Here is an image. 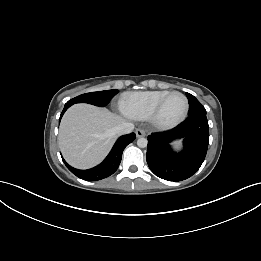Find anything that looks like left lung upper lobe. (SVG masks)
Returning a JSON list of instances; mask_svg holds the SVG:
<instances>
[{"instance_id": "1", "label": "left lung upper lobe", "mask_w": 261, "mask_h": 261, "mask_svg": "<svg viewBox=\"0 0 261 261\" xmlns=\"http://www.w3.org/2000/svg\"><path fill=\"white\" fill-rule=\"evenodd\" d=\"M189 102V116L193 114H206L204 106L191 94L186 93Z\"/></svg>"}]
</instances>
